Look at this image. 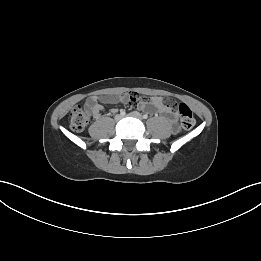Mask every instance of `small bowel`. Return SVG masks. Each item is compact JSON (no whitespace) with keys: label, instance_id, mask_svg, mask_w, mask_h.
Returning <instances> with one entry per match:
<instances>
[{"label":"small bowel","instance_id":"small-bowel-1","mask_svg":"<svg viewBox=\"0 0 261 261\" xmlns=\"http://www.w3.org/2000/svg\"><path fill=\"white\" fill-rule=\"evenodd\" d=\"M138 106L144 112L158 114L170 124L172 130H178V114L167 106L164 99L158 96L140 95L136 91L125 92L123 95L91 96L86 99L84 107L94 118L99 119L104 111L102 104H126Z\"/></svg>","mask_w":261,"mask_h":261}]
</instances>
